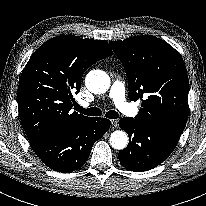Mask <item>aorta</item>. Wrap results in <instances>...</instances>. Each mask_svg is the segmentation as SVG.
<instances>
[{"label": "aorta", "instance_id": "aorta-1", "mask_svg": "<svg viewBox=\"0 0 206 206\" xmlns=\"http://www.w3.org/2000/svg\"><path fill=\"white\" fill-rule=\"evenodd\" d=\"M85 83L89 91L101 94L109 89L110 78L102 70H92L87 74ZM110 144L114 149H124L128 144L127 134L122 130L114 131L110 136Z\"/></svg>", "mask_w": 206, "mask_h": 206}]
</instances>
